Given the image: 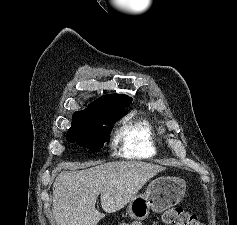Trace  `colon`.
<instances>
[{"instance_id":"colon-1","label":"colon","mask_w":237,"mask_h":225,"mask_svg":"<svg viewBox=\"0 0 237 225\" xmlns=\"http://www.w3.org/2000/svg\"><path fill=\"white\" fill-rule=\"evenodd\" d=\"M166 225H202L199 218L187 212L183 207H173L168 209L161 218ZM118 225H141L137 221H125Z\"/></svg>"}]
</instances>
